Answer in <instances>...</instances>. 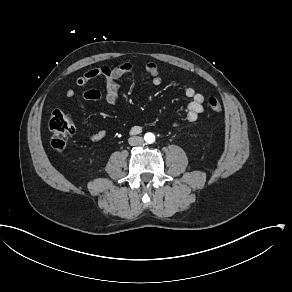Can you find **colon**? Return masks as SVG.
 Here are the masks:
<instances>
[{"label":"colon","instance_id":"5ec220e1","mask_svg":"<svg viewBox=\"0 0 292 292\" xmlns=\"http://www.w3.org/2000/svg\"><path fill=\"white\" fill-rule=\"evenodd\" d=\"M206 106L214 113H220L222 109L219 100L213 96L208 97ZM49 128L51 147L55 151H62L74 131L72 122L63 110L54 109L49 120Z\"/></svg>","mask_w":292,"mask_h":292}]
</instances>
